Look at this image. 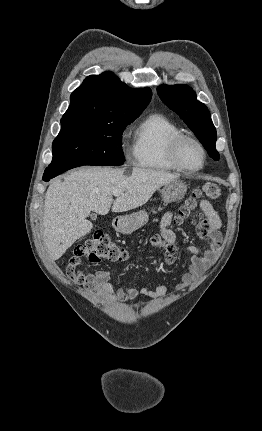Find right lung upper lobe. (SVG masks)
<instances>
[{
    "label": "right lung upper lobe",
    "mask_w": 262,
    "mask_h": 431,
    "mask_svg": "<svg viewBox=\"0 0 262 431\" xmlns=\"http://www.w3.org/2000/svg\"><path fill=\"white\" fill-rule=\"evenodd\" d=\"M151 97L149 88L131 89L111 72L91 75L72 92L61 124L135 118L147 107Z\"/></svg>",
    "instance_id": "right-lung-upper-lobe-1"
}]
</instances>
